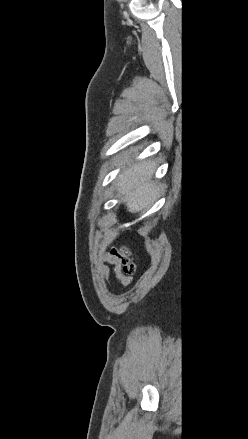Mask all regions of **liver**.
Masks as SVG:
<instances>
[{
    "label": "liver",
    "mask_w": 248,
    "mask_h": 439,
    "mask_svg": "<svg viewBox=\"0 0 248 439\" xmlns=\"http://www.w3.org/2000/svg\"><path fill=\"white\" fill-rule=\"evenodd\" d=\"M129 159L124 157L121 164ZM155 169L153 161L146 160L129 166L118 176L116 190L130 212H141L156 200L160 187L152 180Z\"/></svg>",
    "instance_id": "obj_1"
}]
</instances>
